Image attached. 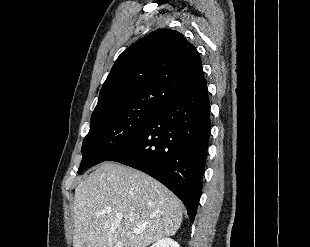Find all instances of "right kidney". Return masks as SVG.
I'll list each match as a JSON object with an SVG mask.
<instances>
[{
	"label": "right kidney",
	"mask_w": 310,
	"mask_h": 247,
	"mask_svg": "<svg viewBox=\"0 0 310 247\" xmlns=\"http://www.w3.org/2000/svg\"><path fill=\"white\" fill-rule=\"evenodd\" d=\"M151 247H180V245L171 238H162L154 243Z\"/></svg>",
	"instance_id": "obj_1"
}]
</instances>
